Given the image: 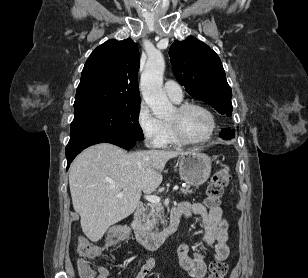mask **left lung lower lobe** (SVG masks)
<instances>
[{"label":"left lung lower lobe","instance_id":"1","mask_svg":"<svg viewBox=\"0 0 308 278\" xmlns=\"http://www.w3.org/2000/svg\"><path fill=\"white\" fill-rule=\"evenodd\" d=\"M221 135L223 139L228 140V139L233 138L235 134H234V130L225 129L222 131Z\"/></svg>","mask_w":308,"mask_h":278}]
</instances>
